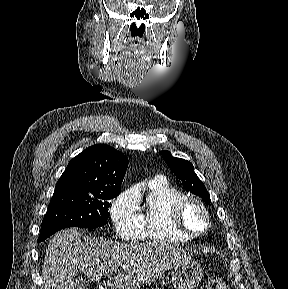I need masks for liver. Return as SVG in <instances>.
I'll list each match as a JSON object with an SVG mask.
<instances>
[{"mask_svg":"<svg viewBox=\"0 0 288 289\" xmlns=\"http://www.w3.org/2000/svg\"><path fill=\"white\" fill-rule=\"evenodd\" d=\"M190 259L184 250L163 243L82 242L78 229L70 228L50 239L42 277L44 289H74L78 268L91 282L105 278L111 289H139Z\"/></svg>","mask_w":288,"mask_h":289,"instance_id":"obj_1","label":"liver"}]
</instances>
